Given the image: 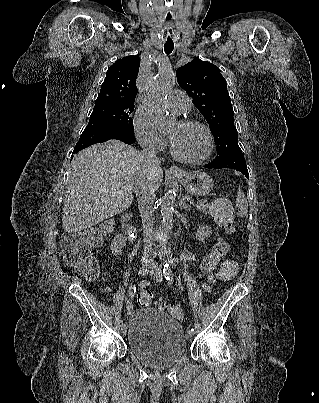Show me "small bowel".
I'll list each match as a JSON object with an SVG mask.
<instances>
[{
	"label": "small bowel",
	"instance_id": "1",
	"mask_svg": "<svg viewBox=\"0 0 319 403\" xmlns=\"http://www.w3.org/2000/svg\"><path fill=\"white\" fill-rule=\"evenodd\" d=\"M229 244L223 239L219 238L217 242L213 245L210 251L203 257L200 262V270L206 275V282L203 284V288L207 293H210L209 284L216 281V276L214 271L218 267L221 259L228 253ZM221 278V275H219ZM148 285L146 282L145 286ZM132 306H128V310H131Z\"/></svg>",
	"mask_w": 319,
	"mask_h": 403
}]
</instances>
